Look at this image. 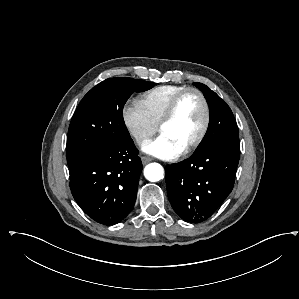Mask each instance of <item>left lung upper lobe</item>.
Wrapping results in <instances>:
<instances>
[{
  "label": "left lung upper lobe",
  "instance_id": "5c2ea615",
  "mask_svg": "<svg viewBox=\"0 0 299 299\" xmlns=\"http://www.w3.org/2000/svg\"><path fill=\"white\" fill-rule=\"evenodd\" d=\"M193 84L203 92L210 108L209 127L195 152L213 146L240 150L238 127L229 106L206 85L197 82Z\"/></svg>",
  "mask_w": 299,
  "mask_h": 299
}]
</instances>
